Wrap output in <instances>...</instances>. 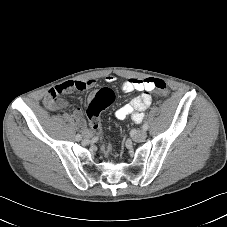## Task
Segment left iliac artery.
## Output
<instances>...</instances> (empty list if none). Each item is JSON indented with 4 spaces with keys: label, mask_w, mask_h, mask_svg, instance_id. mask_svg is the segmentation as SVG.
I'll use <instances>...</instances> for the list:
<instances>
[{
    "label": "left iliac artery",
    "mask_w": 227,
    "mask_h": 227,
    "mask_svg": "<svg viewBox=\"0 0 227 227\" xmlns=\"http://www.w3.org/2000/svg\"><path fill=\"white\" fill-rule=\"evenodd\" d=\"M148 127H149V125H148L147 123H144L143 126H142V128H143L144 130H147Z\"/></svg>",
    "instance_id": "obj_1"
}]
</instances>
